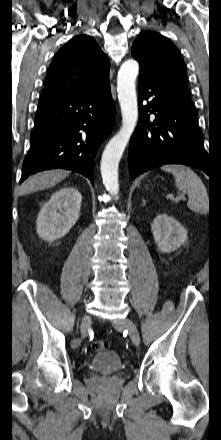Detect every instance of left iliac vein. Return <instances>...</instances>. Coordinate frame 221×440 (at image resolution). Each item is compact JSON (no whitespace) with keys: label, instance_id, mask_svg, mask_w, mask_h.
<instances>
[{"label":"left iliac vein","instance_id":"left-iliac-vein-1","mask_svg":"<svg viewBox=\"0 0 221 440\" xmlns=\"http://www.w3.org/2000/svg\"><path fill=\"white\" fill-rule=\"evenodd\" d=\"M113 326L117 329L118 328H127L132 342L135 345H139L140 335H139L138 329H137L136 325L134 324V322L132 320H130L128 317H123L120 319L113 320Z\"/></svg>","mask_w":221,"mask_h":440}]
</instances>
